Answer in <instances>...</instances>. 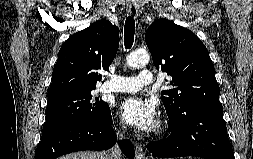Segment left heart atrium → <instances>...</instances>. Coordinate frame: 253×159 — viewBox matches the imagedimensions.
I'll use <instances>...</instances> for the list:
<instances>
[{"label": "left heart atrium", "instance_id": "obj_1", "mask_svg": "<svg viewBox=\"0 0 253 159\" xmlns=\"http://www.w3.org/2000/svg\"><path fill=\"white\" fill-rule=\"evenodd\" d=\"M123 120L141 131L148 132L156 120V106L153 101L138 96L124 99L119 105Z\"/></svg>", "mask_w": 253, "mask_h": 159}]
</instances>
